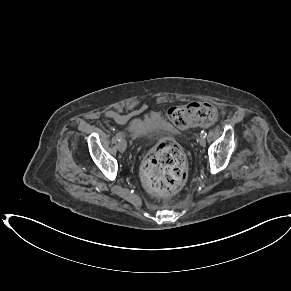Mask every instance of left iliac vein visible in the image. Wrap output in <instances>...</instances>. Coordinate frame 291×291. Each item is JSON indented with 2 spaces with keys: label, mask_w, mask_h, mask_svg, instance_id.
Masks as SVG:
<instances>
[{
  "label": "left iliac vein",
  "mask_w": 291,
  "mask_h": 291,
  "mask_svg": "<svg viewBox=\"0 0 291 291\" xmlns=\"http://www.w3.org/2000/svg\"><path fill=\"white\" fill-rule=\"evenodd\" d=\"M198 142H199V144H200L201 146H205V144H206V140H205V138L202 137V136H200V137L198 138Z\"/></svg>",
  "instance_id": "1"
}]
</instances>
